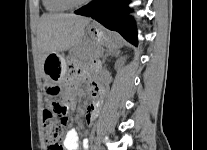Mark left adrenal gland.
Returning <instances> with one entry per match:
<instances>
[{
  "mask_svg": "<svg viewBox=\"0 0 207 150\" xmlns=\"http://www.w3.org/2000/svg\"><path fill=\"white\" fill-rule=\"evenodd\" d=\"M118 54H119V51H117V50L107 49L103 58H102V63L103 64L105 63L107 57L113 56V55L118 56Z\"/></svg>",
  "mask_w": 207,
  "mask_h": 150,
  "instance_id": "left-adrenal-gland-1",
  "label": "left adrenal gland"
}]
</instances>
